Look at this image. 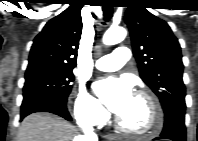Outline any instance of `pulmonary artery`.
Returning a JSON list of instances; mask_svg holds the SVG:
<instances>
[{
  "label": "pulmonary artery",
  "mask_w": 198,
  "mask_h": 141,
  "mask_svg": "<svg viewBox=\"0 0 198 141\" xmlns=\"http://www.w3.org/2000/svg\"><path fill=\"white\" fill-rule=\"evenodd\" d=\"M131 57L128 47L118 46L111 54L102 56L95 62V67L102 71H115L122 67Z\"/></svg>",
  "instance_id": "pulmonary-artery-1"
}]
</instances>
